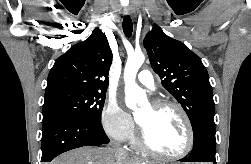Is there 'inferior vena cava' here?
Instances as JSON below:
<instances>
[{
  "instance_id": "602c4592",
  "label": "inferior vena cava",
  "mask_w": 251,
  "mask_h": 164,
  "mask_svg": "<svg viewBox=\"0 0 251 164\" xmlns=\"http://www.w3.org/2000/svg\"><path fill=\"white\" fill-rule=\"evenodd\" d=\"M116 153H117L118 156H121V155L126 154V151H124V150H123L122 148H120V147H117V148H116Z\"/></svg>"
}]
</instances>
